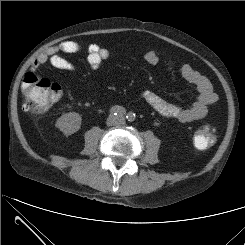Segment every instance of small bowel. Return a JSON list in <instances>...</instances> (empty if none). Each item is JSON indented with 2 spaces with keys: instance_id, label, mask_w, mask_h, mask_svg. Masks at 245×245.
I'll list each match as a JSON object with an SVG mask.
<instances>
[{
  "instance_id": "c3829d8e",
  "label": "small bowel",
  "mask_w": 245,
  "mask_h": 245,
  "mask_svg": "<svg viewBox=\"0 0 245 245\" xmlns=\"http://www.w3.org/2000/svg\"><path fill=\"white\" fill-rule=\"evenodd\" d=\"M75 53H85L87 63L93 70L98 69L101 63L109 57L108 50L98 44L83 45L75 41H64L57 46L47 48L39 54L32 65V70L50 63L53 67L62 71L74 72L76 67L64 55ZM144 58L150 65H156L160 61V57L155 51L146 52ZM180 72L182 77L192 84L197 91V96L190 106H176L152 92L145 93L144 98L152 109L161 116L186 123L204 116L209 107L217 101V94L211 82L189 64L182 65Z\"/></svg>"
}]
</instances>
